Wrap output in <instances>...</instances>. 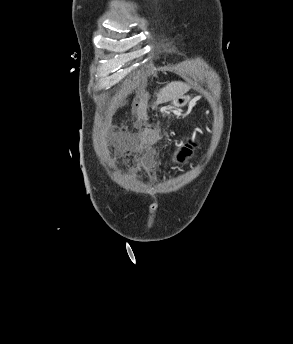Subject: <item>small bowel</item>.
Returning <instances> with one entry per match:
<instances>
[{"mask_svg": "<svg viewBox=\"0 0 293 344\" xmlns=\"http://www.w3.org/2000/svg\"><path fill=\"white\" fill-rule=\"evenodd\" d=\"M158 131L147 128L139 135H130L126 140V147L129 150H144L150 152L158 142Z\"/></svg>", "mask_w": 293, "mask_h": 344, "instance_id": "c3829d8e", "label": "small bowel"}]
</instances>
